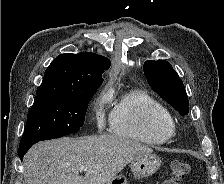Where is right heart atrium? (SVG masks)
Segmentation results:
<instances>
[{
    "label": "right heart atrium",
    "mask_w": 224,
    "mask_h": 184,
    "mask_svg": "<svg viewBox=\"0 0 224 184\" xmlns=\"http://www.w3.org/2000/svg\"><path fill=\"white\" fill-rule=\"evenodd\" d=\"M108 103V100L105 97H100L94 107V116L96 123L99 128H102L106 121V104Z\"/></svg>",
    "instance_id": "d8ad5b80"
}]
</instances>
